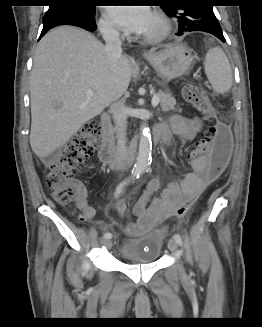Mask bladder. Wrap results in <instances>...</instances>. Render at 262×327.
Instances as JSON below:
<instances>
[{"label":"bladder","mask_w":262,"mask_h":327,"mask_svg":"<svg viewBox=\"0 0 262 327\" xmlns=\"http://www.w3.org/2000/svg\"><path fill=\"white\" fill-rule=\"evenodd\" d=\"M165 234L161 231H150L143 235L131 234L119 249L120 258L128 263H155L159 260Z\"/></svg>","instance_id":"31cf9c89"}]
</instances>
